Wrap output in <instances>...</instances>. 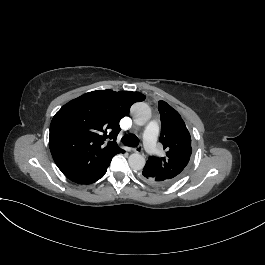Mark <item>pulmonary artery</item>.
I'll return each mask as SVG.
<instances>
[{
  "instance_id": "obj_1",
  "label": "pulmonary artery",
  "mask_w": 265,
  "mask_h": 265,
  "mask_svg": "<svg viewBox=\"0 0 265 265\" xmlns=\"http://www.w3.org/2000/svg\"><path fill=\"white\" fill-rule=\"evenodd\" d=\"M146 126L147 128L145 138L148 143L147 150L150 154H155L157 152V143L155 136L158 133V125L154 121L149 120L146 123Z\"/></svg>"
}]
</instances>
